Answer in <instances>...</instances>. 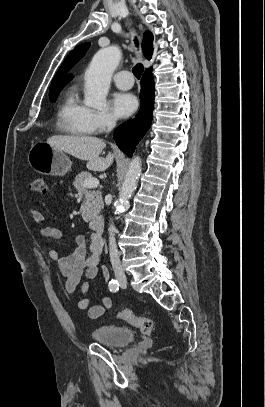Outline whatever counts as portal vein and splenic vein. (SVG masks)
<instances>
[{"instance_id":"1","label":"portal vein and splenic vein","mask_w":265,"mask_h":407,"mask_svg":"<svg viewBox=\"0 0 265 407\" xmlns=\"http://www.w3.org/2000/svg\"><path fill=\"white\" fill-rule=\"evenodd\" d=\"M83 185L87 188H95L99 185V180L96 178L86 179Z\"/></svg>"}]
</instances>
